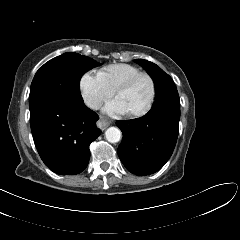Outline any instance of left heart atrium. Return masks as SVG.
Listing matches in <instances>:
<instances>
[{
  "mask_svg": "<svg viewBox=\"0 0 240 240\" xmlns=\"http://www.w3.org/2000/svg\"><path fill=\"white\" fill-rule=\"evenodd\" d=\"M104 111L110 115L124 114L128 112V108L120 98H115L110 101L105 107Z\"/></svg>",
  "mask_w": 240,
  "mask_h": 240,
  "instance_id": "obj_1",
  "label": "left heart atrium"
}]
</instances>
